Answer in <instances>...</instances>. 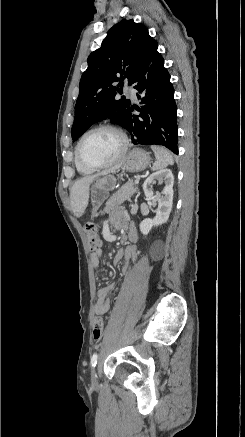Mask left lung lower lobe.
Returning a JSON list of instances; mask_svg holds the SVG:
<instances>
[{
	"label": "left lung lower lobe",
	"instance_id": "left-lung-lower-lobe-1",
	"mask_svg": "<svg viewBox=\"0 0 245 437\" xmlns=\"http://www.w3.org/2000/svg\"><path fill=\"white\" fill-rule=\"evenodd\" d=\"M157 47L144 59L134 88L141 93L147 88L141 99L142 109L130 106L126 129L131 133L132 142L141 145H162L178 154V131L174 89L170 74L164 68V60ZM140 111L139 116L132 115L133 110Z\"/></svg>",
	"mask_w": 245,
	"mask_h": 437
}]
</instances>
